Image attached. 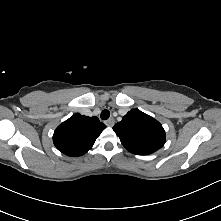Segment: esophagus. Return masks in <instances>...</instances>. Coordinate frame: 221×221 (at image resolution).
I'll return each mask as SVG.
<instances>
[{
  "label": "esophagus",
  "instance_id": "esophagus-1",
  "mask_svg": "<svg viewBox=\"0 0 221 221\" xmlns=\"http://www.w3.org/2000/svg\"><path fill=\"white\" fill-rule=\"evenodd\" d=\"M115 123V120L113 118H110L108 120L105 121V124L109 127H112Z\"/></svg>",
  "mask_w": 221,
  "mask_h": 221
}]
</instances>
